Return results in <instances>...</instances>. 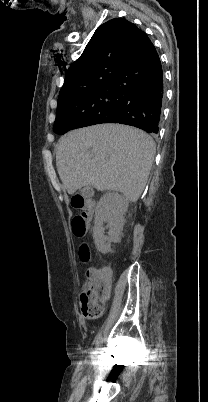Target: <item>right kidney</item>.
<instances>
[{
    "label": "right kidney",
    "instance_id": "obj_1",
    "mask_svg": "<svg viewBox=\"0 0 208 402\" xmlns=\"http://www.w3.org/2000/svg\"><path fill=\"white\" fill-rule=\"evenodd\" d=\"M129 206L128 200L115 192H107L100 198L95 208L93 240L98 252H110L111 242H118L124 226V214ZM107 222L109 236H104L103 224Z\"/></svg>",
    "mask_w": 208,
    "mask_h": 402
}]
</instances>
